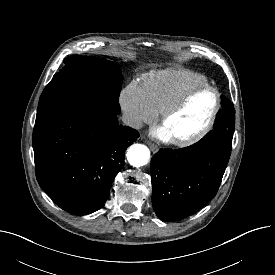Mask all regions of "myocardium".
<instances>
[{"mask_svg":"<svg viewBox=\"0 0 275 275\" xmlns=\"http://www.w3.org/2000/svg\"><path fill=\"white\" fill-rule=\"evenodd\" d=\"M205 90H210L215 93L216 96V103L215 107L206 122V124L198 130L196 133L187 136V137H182V138H171V142L177 146H189L192 145L198 141H200L203 137H205L213 128L216 119L218 117V114L221 109V94L219 90L211 85L205 84V85H200L197 87H194L190 90H188L186 93H184L181 97H179L176 101H174L172 104H170L168 107H166L160 114V123L163 125L172 115L177 113L181 108L185 106V104L197 93L205 91Z\"/></svg>","mask_w":275,"mask_h":275,"instance_id":"myocardium-1","label":"myocardium"}]
</instances>
